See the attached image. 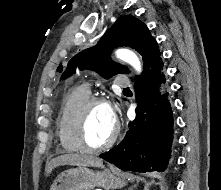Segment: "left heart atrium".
Masks as SVG:
<instances>
[{
    "mask_svg": "<svg viewBox=\"0 0 221 190\" xmlns=\"http://www.w3.org/2000/svg\"><path fill=\"white\" fill-rule=\"evenodd\" d=\"M110 111H111V117H112V120H113L114 122H116V115H115V112L113 111L112 108H110Z\"/></svg>",
    "mask_w": 221,
    "mask_h": 190,
    "instance_id": "obj_1",
    "label": "left heart atrium"
}]
</instances>
